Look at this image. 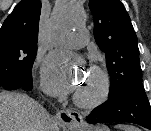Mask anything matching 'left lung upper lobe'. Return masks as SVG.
<instances>
[{
	"instance_id": "5c2ea615",
	"label": "left lung upper lobe",
	"mask_w": 151,
	"mask_h": 131,
	"mask_svg": "<svg viewBox=\"0 0 151 131\" xmlns=\"http://www.w3.org/2000/svg\"><path fill=\"white\" fill-rule=\"evenodd\" d=\"M94 19V36L105 52L110 74L109 97L133 83H142L139 49L130 17L119 0H90Z\"/></svg>"
}]
</instances>
